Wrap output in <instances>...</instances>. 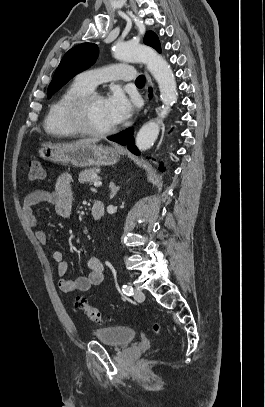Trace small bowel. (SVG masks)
Returning a JSON list of instances; mask_svg holds the SVG:
<instances>
[{
	"mask_svg": "<svg viewBox=\"0 0 265 407\" xmlns=\"http://www.w3.org/2000/svg\"><path fill=\"white\" fill-rule=\"evenodd\" d=\"M41 202L53 204L59 217L64 219L69 218L72 213L73 203L72 176L68 173H63L58 176L53 191L37 189L30 192L24 199L22 212L26 222L35 230L37 240L41 244H47L48 236L43 230L38 228V220L33 211V207ZM52 259L57 266V274L60 277L58 285L63 293L87 291L91 287L100 285L103 280L104 268L98 258H89L87 261L88 275L74 280L65 277L68 271V262L61 251L53 252Z\"/></svg>",
	"mask_w": 265,
	"mask_h": 407,
	"instance_id": "1",
	"label": "small bowel"
}]
</instances>
